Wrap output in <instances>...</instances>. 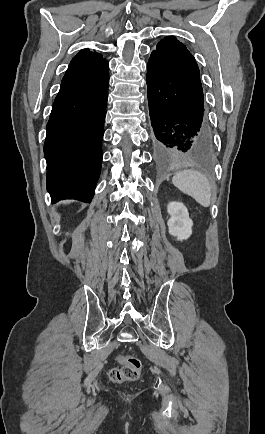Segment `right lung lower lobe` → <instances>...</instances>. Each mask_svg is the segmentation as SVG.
I'll use <instances>...</instances> for the list:
<instances>
[{"mask_svg": "<svg viewBox=\"0 0 265 434\" xmlns=\"http://www.w3.org/2000/svg\"><path fill=\"white\" fill-rule=\"evenodd\" d=\"M109 65L95 51L70 62L46 130L47 190L62 199L91 202L101 171Z\"/></svg>", "mask_w": 265, "mask_h": 434, "instance_id": "98d812e1", "label": "right lung lower lobe"}]
</instances>
